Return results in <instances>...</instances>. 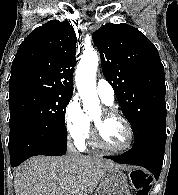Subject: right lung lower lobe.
<instances>
[{
  "label": "right lung lower lobe",
  "mask_w": 178,
  "mask_h": 195,
  "mask_svg": "<svg viewBox=\"0 0 178 195\" xmlns=\"http://www.w3.org/2000/svg\"><path fill=\"white\" fill-rule=\"evenodd\" d=\"M12 167L36 155L61 156L66 153L67 139L58 128H13L9 136Z\"/></svg>",
  "instance_id": "98d812e1"
}]
</instances>
